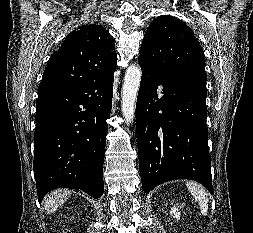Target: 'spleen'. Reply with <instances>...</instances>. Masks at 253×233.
<instances>
[{
    "label": "spleen",
    "mask_w": 253,
    "mask_h": 233,
    "mask_svg": "<svg viewBox=\"0 0 253 233\" xmlns=\"http://www.w3.org/2000/svg\"><path fill=\"white\" fill-rule=\"evenodd\" d=\"M186 186L191 195L195 198L196 202L199 204L202 214L207 215L209 200L205 189L196 182H187Z\"/></svg>",
    "instance_id": "obj_1"
}]
</instances>
